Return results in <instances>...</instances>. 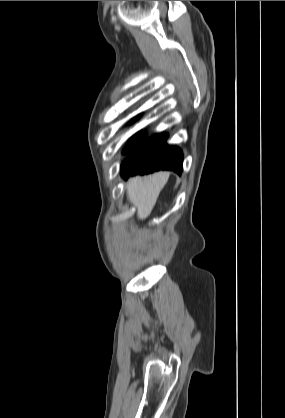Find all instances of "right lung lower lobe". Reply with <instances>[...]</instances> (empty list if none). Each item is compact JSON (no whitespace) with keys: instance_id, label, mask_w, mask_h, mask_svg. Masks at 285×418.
I'll return each mask as SVG.
<instances>
[{"instance_id":"1","label":"right lung lower lobe","mask_w":285,"mask_h":418,"mask_svg":"<svg viewBox=\"0 0 285 418\" xmlns=\"http://www.w3.org/2000/svg\"><path fill=\"white\" fill-rule=\"evenodd\" d=\"M166 134H155L135 147L121 164V174L127 179L136 174L158 170H173L181 174L183 153L180 148L166 143Z\"/></svg>"}]
</instances>
